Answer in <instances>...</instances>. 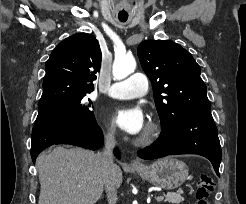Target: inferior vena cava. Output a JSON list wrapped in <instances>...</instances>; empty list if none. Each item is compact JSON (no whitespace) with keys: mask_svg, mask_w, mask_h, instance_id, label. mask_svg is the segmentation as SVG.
<instances>
[{"mask_svg":"<svg viewBox=\"0 0 246 204\" xmlns=\"http://www.w3.org/2000/svg\"><path fill=\"white\" fill-rule=\"evenodd\" d=\"M115 147V138L113 131H110L104 137V149L98 153L101 161L103 182L107 193V200L109 204H116L117 202V189L113 183V173L116 165L113 163V148Z\"/></svg>","mask_w":246,"mask_h":204,"instance_id":"602c4592","label":"inferior vena cava"}]
</instances>
